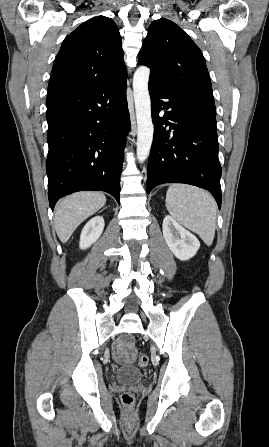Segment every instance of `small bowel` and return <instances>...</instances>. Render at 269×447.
<instances>
[{
	"label": "small bowel",
	"instance_id": "1",
	"mask_svg": "<svg viewBox=\"0 0 269 447\" xmlns=\"http://www.w3.org/2000/svg\"><path fill=\"white\" fill-rule=\"evenodd\" d=\"M124 337L127 340H133L137 337V334L133 331H127L125 332ZM113 357L118 363L125 364L132 360L135 357V354L132 352L131 348L126 346L124 341L120 339L113 347Z\"/></svg>",
	"mask_w": 269,
	"mask_h": 447
}]
</instances>
